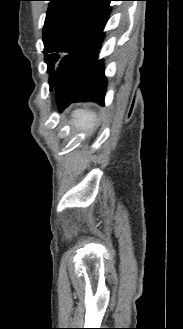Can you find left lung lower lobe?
<instances>
[{
	"label": "left lung lower lobe",
	"instance_id": "left-lung-lower-lobe-1",
	"mask_svg": "<svg viewBox=\"0 0 183 329\" xmlns=\"http://www.w3.org/2000/svg\"><path fill=\"white\" fill-rule=\"evenodd\" d=\"M105 16L60 65L50 88H56L57 105L62 112L72 102L104 103L107 88L103 59L99 53L105 38Z\"/></svg>",
	"mask_w": 183,
	"mask_h": 329
}]
</instances>
